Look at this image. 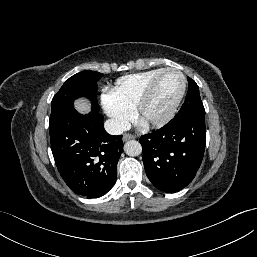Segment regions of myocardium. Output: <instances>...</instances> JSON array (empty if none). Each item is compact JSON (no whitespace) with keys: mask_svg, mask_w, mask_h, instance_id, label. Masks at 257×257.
<instances>
[{"mask_svg":"<svg viewBox=\"0 0 257 257\" xmlns=\"http://www.w3.org/2000/svg\"><path fill=\"white\" fill-rule=\"evenodd\" d=\"M169 72H176L181 76V78H182L181 92H180L178 98L176 99V101L173 103V105L169 108V110L165 114H163L159 118L148 120L145 117L146 108H147L148 104L150 103V101L152 100L161 78L166 73H169ZM186 89H187V78H186L185 74L181 70L176 69V68H165L152 80V82L149 84L147 89L144 91V93L141 95L140 99L138 100V103L136 105L137 119L147 128L163 127L164 125L169 123L175 116V114L185 96Z\"/></svg>","mask_w":257,"mask_h":257,"instance_id":"obj_1","label":"myocardium"}]
</instances>
